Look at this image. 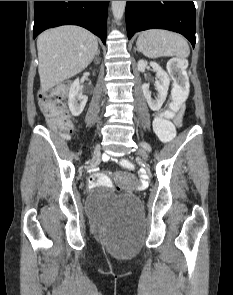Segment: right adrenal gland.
<instances>
[{"label": "right adrenal gland", "instance_id": "2a0ac1e0", "mask_svg": "<svg viewBox=\"0 0 233 295\" xmlns=\"http://www.w3.org/2000/svg\"><path fill=\"white\" fill-rule=\"evenodd\" d=\"M100 55V49H98V51H97V56H99Z\"/></svg>", "mask_w": 233, "mask_h": 295}]
</instances>
